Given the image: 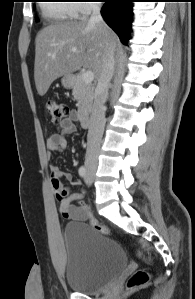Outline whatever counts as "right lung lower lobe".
Listing matches in <instances>:
<instances>
[{"mask_svg": "<svg viewBox=\"0 0 195 299\" xmlns=\"http://www.w3.org/2000/svg\"><path fill=\"white\" fill-rule=\"evenodd\" d=\"M101 14L107 24L117 33L122 43H127L132 22L134 0H104Z\"/></svg>", "mask_w": 195, "mask_h": 299, "instance_id": "98d812e1", "label": "right lung lower lobe"}]
</instances>
